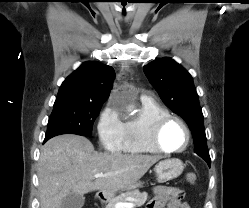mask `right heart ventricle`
Instances as JSON below:
<instances>
[{
  "label": "right heart ventricle",
  "mask_w": 249,
  "mask_h": 208,
  "mask_svg": "<svg viewBox=\"0 0 249 208\" xmlns=\"http://www.w3.org/2000/svg\"><path fill=\"white\" fill-rule=\"evenodd\" d=\"M168 114V109L153 100H141L138 113L124 123L121 151L132 155L157 153L150 146L148 137L153 124Z\"/></svg>",
  "instance_id": "right-heart-ventricle-1"
}]
</instances>
